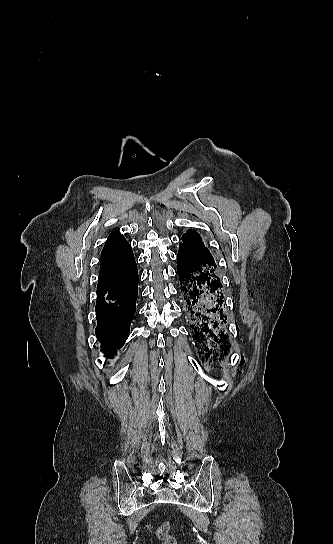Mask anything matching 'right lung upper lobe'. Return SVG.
Returning a JSON list of instances; mask_svg holds the SVG:
<instances>
[{
  "label": "right lung upper lobe",
  "instance_id": "right-lung-upper-lobe-1",
  "mask_svg": "<svg viewBox=\"0 0 333 544\" xmlns=\"http://www.w3.org/2000/svg\"><path fill=\"white\" fill-rule=\"evenodd\" d=\"M134 262L135 259L130 244L119 231H113L101 252L98 285L120 276Z\"/></svg>",
  "mask_w": 333,
  "mask_h": 544
}]
</instances>
